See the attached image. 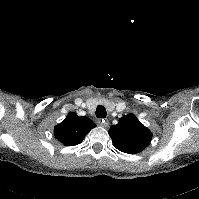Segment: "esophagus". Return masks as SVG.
<instances>
[{
    "mask_svg": "<svg viewBox=\"0 0 199 199\" xmlns=\"http://www.w3.org/2000/svg\"><path fill=\"white\" fill-rule=\"evenodd\" d=\"M98 123H99L100 126L105 127V128L109 126V121L106 120V119H100L98 121Z\"/></svg>",
    "mask_w": 199,
    "mask_h": 199,
    "instance_id": "esophagus-1",
    "label": "esophagus"
}]
</instances>
